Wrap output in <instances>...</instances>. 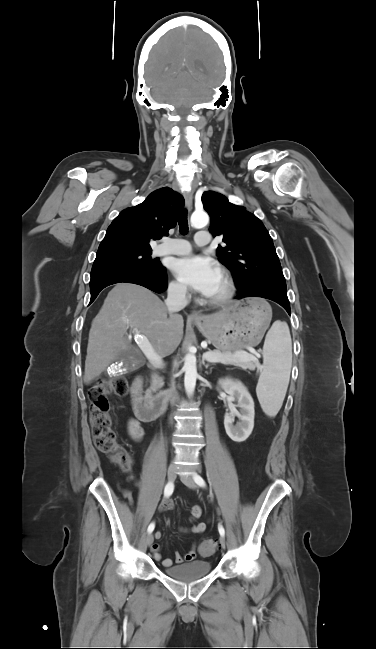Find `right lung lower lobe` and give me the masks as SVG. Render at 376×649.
I'll return each mask as SVG.
<instances>
[{"instance_id": "right-lung-lower-lobe-1", "label": "right lung lower lobe", "mask_w": 376, "mask_h": 649, "mask_svg": "<svg viewBox=\"0 0 376 649\" xmlns=\"http://www.w3.org/2000/svg\"><path fill=\"white\" fill-rule=\"evenodd\" d=\"M120 282L138 284L156 293H161L167 289L166 269L159 264L156 268L113 265L93 270L90 279V303L95 300L103 288Z\"/></svg>"}]
</instances>
